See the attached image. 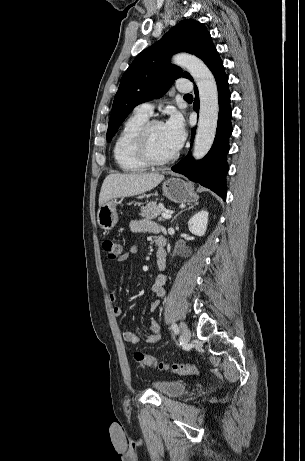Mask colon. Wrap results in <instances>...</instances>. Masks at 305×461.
<instances>
[{"instance_id": "5ec220e1", "label": "colon", "mask_w": 305, "mask_h": 461, "mask_svg": "<svg viewBox=\"0 0 305 461\" xmlns=\"http://www.w3.org/2000/svg\"><path fill=\"white\" fill-rule=\"evenodd\" d=\"M103 248L108 254L109 258L117 259L124 254L125 242L118 239H106L103 242ZM134 359L137 363L152 368H157L162 371H170L180 375H198L200 369L193 364L183 363H168L165 361L157 360L141 351L134 353Z\"/></svg>"}]
</instances>
